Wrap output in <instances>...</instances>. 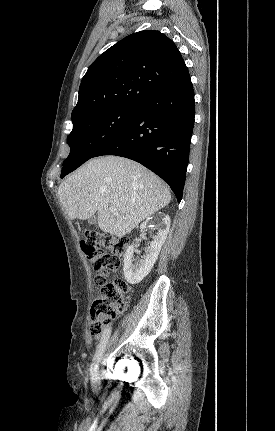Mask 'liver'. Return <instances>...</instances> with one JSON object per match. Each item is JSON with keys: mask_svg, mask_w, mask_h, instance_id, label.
<instances>
[{"mask_svg": "<svg viewBox=\"0 0 275 431\" xmlns=\"http://www.w3.org/2000/svg\"><path fill=\"white\" fill-rule=\"evenodd\" d=\"M59 199L71 220L98 213V226L122 237L171 200L169 187L130 159L105 156L89 160L59 186ZM114 206L117 214L110 212Z\"/></svg>", "mask_w": 275, "mask_h": 431, "instance_id": "1", "label": "liver"}]
</instances>
